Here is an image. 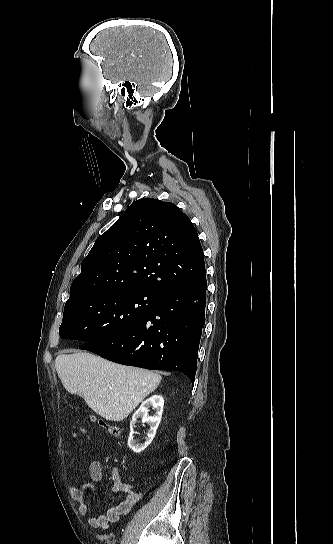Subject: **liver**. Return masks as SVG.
Wrapping results in <instances>:
<instances>
[{
  "label": "liver",
  "instance_id": "obj_1",
  "mask_svg": "<svg viewBox=\"0 0 333 544\" xmlns=\"http://www.w3.org/2000/svg\"><path fill=\"white\" fill-rule=\"evenodd\" d=\"M55 367L64 388L109 421L124 420L161 382L155 372L123 366L88 352L60 354Z\"/></svg>",
  "mask_w": 333,
  "mask_h": 544
}]
</instances>
